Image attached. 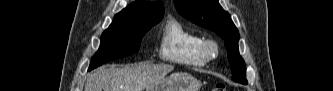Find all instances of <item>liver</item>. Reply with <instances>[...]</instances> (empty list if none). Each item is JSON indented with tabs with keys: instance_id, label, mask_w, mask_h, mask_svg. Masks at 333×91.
<instances>
[{
	"instance_id": "liver-1",
	"label": "liver",
	"mask_w": 333,
	"mask_h": 91,
	"mask_svg": "<svg viewBox=\"0 0 333 91\" xmlns=\"http://www.w3.org/2000/svg\"><path fill=\"white\" fill-rule=\"evenodd\" d=\"M174 69L171 65L146 63L99 68L86 81L85 91H143Z\"/></svg>"
}]
</instances>
